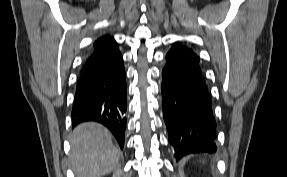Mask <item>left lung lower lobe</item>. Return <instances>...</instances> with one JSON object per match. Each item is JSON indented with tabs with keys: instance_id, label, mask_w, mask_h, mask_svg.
I'll return each instance as SVG.
<instances>
[{
	"instance_id": "left-lung-lower-lobe-1",
	"label": "left lung lower lobe",
	"mask_w": 287,
	"mask_h": 177,
	"mask_svg": "<svg viewBox=\"0 0 287 177\" xmlns=\"http://www.w3.org/2000/svg\"><path fill=\"white\" fill-rule=\"evenodd\" d=\"M162 71V109L176 160L190 153L215 152L216 123L200 58L176 43Z\"/></svg>"
}]
</instances>
